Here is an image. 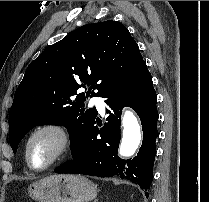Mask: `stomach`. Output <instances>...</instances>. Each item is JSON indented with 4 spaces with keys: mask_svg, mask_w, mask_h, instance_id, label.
I'll use <instances>...</instances> for the list:
<instances>
[{
    "mask_svg": "<svg viewBox=\"0 0 209 202\" xmlns=\"http://www.w3.org/2000/svg\"><path fill=\"white\" fill-rule=\"evenodd\" d=\"M28 194L37 202H89L97 186L81 175H50L30 184Z\"/></svg>",
    "mask_w": 209,
    "mask_h": 202,
    "instance_id": "1",
    "label": "stomach"
}]
</instances>
